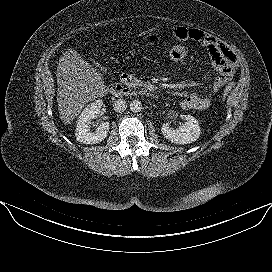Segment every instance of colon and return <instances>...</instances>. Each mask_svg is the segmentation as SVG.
Listing matches in <instances>:
<instances>
[{
	"mask_svg": "<svg viewBox=\"0 0 272 272\" xmlns=\"http://www.w3.org/2000/svg\"><path fill=\"white\" fill-rule=\"evenodd\" d=\"M165 55L173 62H182L188 58L189 52L185 46L175 44L166 48ZM234 86L233 83H230L225 87L221 95V100L225 99V97L234 89Z\"/></svg>",
	"mask_w": 272,
	"mask_h": 272,
	"instance_id": "1",
	"label": "colon"
}]
</instances>
